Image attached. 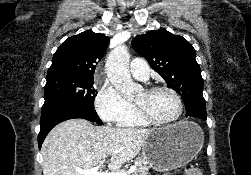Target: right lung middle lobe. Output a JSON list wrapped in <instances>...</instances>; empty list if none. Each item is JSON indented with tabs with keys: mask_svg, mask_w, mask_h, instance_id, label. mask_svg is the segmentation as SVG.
Listing matches in <instances>:
<instances>
[{
	"mask_svg": "<svg viewBox=\"0 0 251 175\" xmlns=\"http://www.w3.org/2000/svg\"><path fill=\"white\" fill-rule=\"evenodd\" d=\"M94 80L74 77H47L44 98L46 100H65L86 106H94L97 92Z\"/></svg>",
	"mask_w": 251,
	"mask_h": 175,
	"instance_id": "obj_1",
	"label": "right lung middle lobe"
}]
</instances>
